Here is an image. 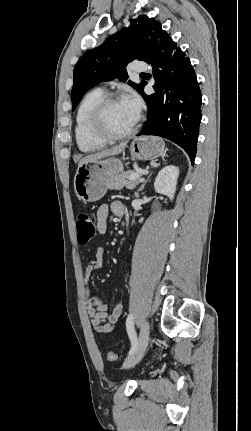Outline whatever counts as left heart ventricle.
Instances as JSON below:
<instances>
[{"label":"left heart ventricle","instance_id":"1","mask_svg":"<svg viewBox=\"0 0 251 431\" xmlns=\"http://www.w3.org/2000/svg\"><path fill=\"white\" fill-rule=\"evenodd\" d=\"M136 118L137 114L120 100L107 108L105 125L113 133H122L133 126Z\"/></svg>","mask_w":251,"mask_h":431}]
</instances>
